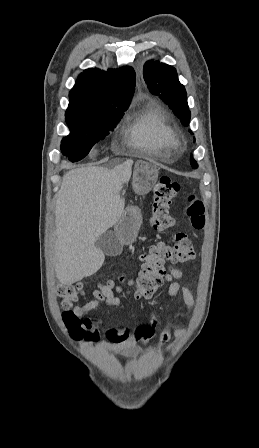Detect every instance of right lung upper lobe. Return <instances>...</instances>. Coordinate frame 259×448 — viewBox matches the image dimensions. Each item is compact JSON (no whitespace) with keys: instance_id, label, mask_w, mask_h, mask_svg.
<instances>
[{"instance_id":"1","label":"right lung upper lobe","mask_w":259,"mask_h":448,"mask_svg":"<svg viewBox=\"0 0 259 448\" xmlns=\"http://www.w3.org/2000/svg\"><path fill=\"white\" fill-rule=\"evenodd\" d=\"M136 85L134 70L129 67L86 69L69 93L65 115L128 108Z\"/></svg>"}]
</instances>
